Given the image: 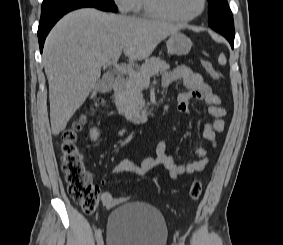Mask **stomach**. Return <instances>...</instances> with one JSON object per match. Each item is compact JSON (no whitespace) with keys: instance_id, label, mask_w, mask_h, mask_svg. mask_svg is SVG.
Returning a JSON list of instances; mask_svg holds the SVG:
<instances>
[{"instance_id":"stomach-1","label":"stomach","mask_w":283,"mask_h":245,"mask_svg":"<svg viewBox=\"0 0 283 245\" xmlns=\"http://www.w3.org/2000/svg\"><path fill=\"white\" fill-rule=\"evenodd\" d=\"M191 47V40L185 34L179 31L171 34L167 41V51L172 55H187L191 50Z\"/></svg>"}]
</instances>
